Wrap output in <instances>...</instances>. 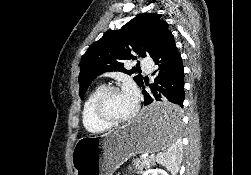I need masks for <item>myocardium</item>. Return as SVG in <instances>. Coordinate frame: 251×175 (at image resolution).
Returning <instances> with one entry per match:
<instances>
[{
	"mask_svg": "<svg viewBox=\"0 0 251 175\" xmlns=\"http://www.w3.org/2000/svg\"><path fill=\"white\" fill-rule=\"evenodd\" d=\"M118 90H121L118 86L104 87L96 96L94 104H93V110L96 117L100 121H102L103 123L109 126H117L119 124L129 122L136 116V113H137V108L134 107L133 111L124 117L113 118L107 114L104 108L105 100L111 92L118 91Z\"/></svg>",
	"mask_w": 251,
	"mask_h": 175,
	"instance_id": "myocardium-1",
	"label": "myocardium"
}]
</instances>
